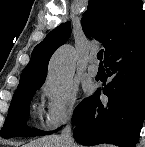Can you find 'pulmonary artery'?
<instances>
[{
  "label": "pulmonary artery",
  "mask_w": 145,
  "mask_h": 147,
  "mask_svg": "<svg viewBox=\"0 0 145 147\" xmlns=\"http://www.w3.org/2000/svg\"><path fill=\"white\" fill-rule=\"evenodd\" d=\"M89 66H88V74L92 77H95L98 74V66H97V57L95 55H92L89 60Z\"/></svg>",
  "instance_id": "e3ab8cb5"
}]
</instances>
